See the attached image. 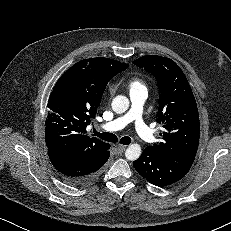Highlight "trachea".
I'll list each match as a JSON object with an SVG mask.
<instances>
[{
    "instance_id": "3493384b",
    "label": "trachea",
    "mask_w": 231,
    "mask_h": 231,
    "mask_svg": "<svg viewBox=\"0 0 231 231\" xmlns=\"http://www.w3.org/2000/svg\"><path fill=\"white\" fill-rule=\"evenodd\" d=\"M94 134H95V136L99 137L100 139H102L104 141L111 142V143L118 142V138L115 134H112L109 132L99 133L95 130H94ZM120 143L123 145H129L131 143V138L128 136L122 137L120 139Z\"/></svg>"
}]
</instances>
